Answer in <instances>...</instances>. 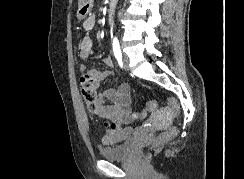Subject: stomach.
<instances>
[{
	"label": "stomach",
	"instance_id": "1",
	"mask_svg": "<svg viewBox=\"0 0 244 179\" xmlns=\"http://www.w3.org/2000/svg\"><path fill=\"white\" fill-rule=\"evenodd\" d=\"M93 0H79V8L77 12L78 20H84L92 8Z\"/></svg>",
	"mask_w": 244,
	"mask_h": 179
}]
</instances>
